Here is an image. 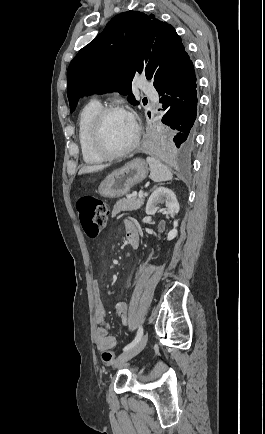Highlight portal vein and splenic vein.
<instances>
[{"mask_svg": "<svg viewBox=\"0 0 265 434\" xmlns=\"http://www.w3.org/2000/svg\"><path fill=\"white\" fill-rule=\"evenodd\" d=\"M139 198H143V192L141 190V192H139Z\"/></svg>", "mask_w": 265, "mask_h": 434, "instance_id": "obj_1", "label": "portal vein and splenic vein"}]
</instances>
